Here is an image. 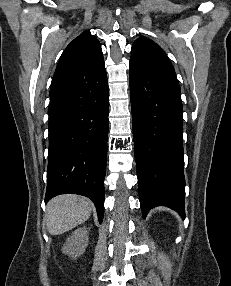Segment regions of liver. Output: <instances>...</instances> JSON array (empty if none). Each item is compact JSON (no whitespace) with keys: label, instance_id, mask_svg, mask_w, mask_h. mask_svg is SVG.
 Wrapping results in <instances>:
<instances>
[{"label":"liver","instance_id":"liver-1","mask_svg":"<svg viewBox=\"0 0 231 286\" xmlns=\"http://www.w3.org/2000/svg\"><path fill=\"white\" fill-rule=\"evenodd\" d=\"M93 203L79 195H59L51 199L46 209L49 234L60 235L85 222L91 215Z\"/></svg>","mask_w":231,"mask_h":286}]
</instances>
